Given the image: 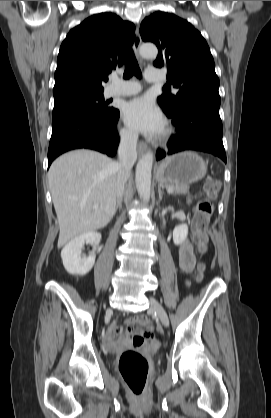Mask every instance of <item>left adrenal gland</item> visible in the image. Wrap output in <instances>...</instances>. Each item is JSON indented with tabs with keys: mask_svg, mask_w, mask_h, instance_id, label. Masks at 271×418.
I'll use <instances>...</instances> for the list:
<instances>
[{
	"mask_svg": "<svg viewBox=\"0 0 271 418\" xmlns=\"http://www.w3.org/2000/svg\"><path fill=\"white\" fill-rule=\"evenodd\" d=\"M158 193H159V201L162 200V196H163V191L161 190L160 187H158Z\"/></svg>",
	"mask_w": 271,
	"mask_h": 418,
	"instance_id": "1",
	"label": "left adrenal gland"
}]
</instances>
